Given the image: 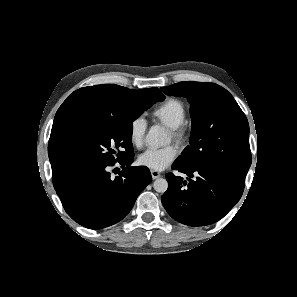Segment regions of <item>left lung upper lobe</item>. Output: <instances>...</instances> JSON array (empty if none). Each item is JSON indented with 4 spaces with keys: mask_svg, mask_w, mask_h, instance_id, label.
<instances>
[{
    "mask_svg": "<svg viewBox=\"0 0 297 297\" xmlns=\"http://www.w3.org/2000/svg\"><path fill=\"white\" fill-rule=\"evenodd\" d=\"M166 95L190 103V145L174 163L219 171L244 182L251 165L249 124L232 95L214 83L179 82L162 87Z\"/></svg>",
    "mask_w": 297,
    "mask_h": 297,
    "instance_id": "obj_1",
    "label": "left lung upper lobe"
}]
</instances>
